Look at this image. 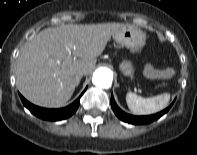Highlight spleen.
<instances>
[{"label": "spleen", "mask_w": 197, "mask_h": 155, "mask_svg": "<svg viewBox=\"0 0 197 155\" xmlns=\"http://www.w3.org/2000/svg\"><path fill=\"white\" fill-rule=\"evenodd\" d=\"M170 100V94L164 93L151 98H142L132 92L126 95L128 108L138 115H147L156 113L165 108Z\"/></svg>", "instance_id": "1"}]
</instances>
